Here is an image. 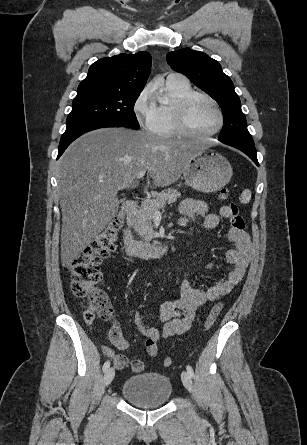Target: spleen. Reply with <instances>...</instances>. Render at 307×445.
Here are the masks:
<instances>
[{"label": "spleen", "instance_id": "1", "mask_svg": "<svg viewBox=\"0 0 307 445\" xmlns=\"http://www.w3.org/2000/svg\"><path fill=\"white\" fill-rule=\"evenodd\" d=\"M250 200H251V190H249V188H245V190L241 192L240 202H243V204H247V202H250Z\"/></svg>", "mask_w": 307, "mask_h": 445}]
</instances>
